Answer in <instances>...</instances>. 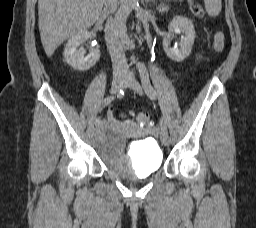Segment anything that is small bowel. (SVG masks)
Returning a JSON list of instances; mask_svg holds the SVG:
<instances>
[{
  "label": "small bowel",
  "instance_id": "obj_1",
  "mask_svg": "<svg viewBox=\"0 0 256 228\" xmlns=\"http://www.w3.org/2000/svg\"><path fill=\"white\" fill-rule=\"evenodd\" d=\"M109 118L112 122H115V118L113 117V115L110 113L109 114ZM152 132H154L155 130L154 129H151Z\"/></svg>",
  "mask_w": 256,
  "mask_h": 228
}]
</instances>
